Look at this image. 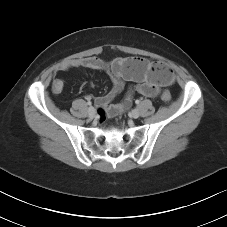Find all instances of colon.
I'll return each instance as SVG.
<instances>
[{"label":"colon","mask_w":227,"mask_h":227,"mask_svg":"<svg viewBox=\"0 0 227 227\" xmlns=\"http://www.w3.org/2000/svg\"><path fill=\"white\" fill-rule=\"evenodd\" d=\"M151 67L162 73L166 78L168 79H172L173 75H172V70L164 63L162 62H151ZM161 99L166 102L169 103L172 100L171 94L169 91L165 90L162 92L161 94ZM98 117L100 121H104L106 118V110L103 107H100L98 109Z\"/></svg>","instance_id":"colon-1"}]
</instances>
